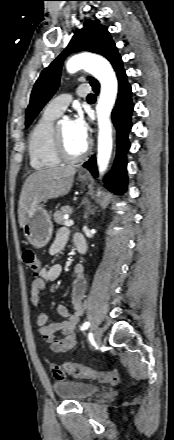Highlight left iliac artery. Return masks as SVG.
<instances>
[{
  "label": "left iliac artery",
  "instance_id": "1",
  "mask_svg": "<svg viewBox=\"0 0 174 440\" xmlns=\"http://www.w3.org/2000/svg\"><path fill=\"white\" fill-rule=\"evenodd\" d=\"M89 326H90V323H89V322H85V323L81 326V330H86Z\"/></svg>",
  "mask_w": 174,
  "mask_h": 440
}]
</instances>
